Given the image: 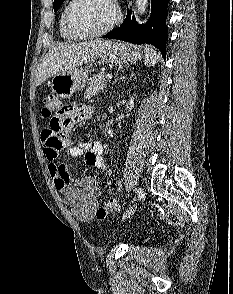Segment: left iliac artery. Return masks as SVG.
<instances>
[{
  "instance_id": "obj_1",
  "label": "left iliac artery",
  "mask_w": 233,
  "mask_h": 294,
  "mask_svg": "<svg viewBox=\"0 0 233 294\" xmlns=\"http://www.w3.org/2000/svg\"><path fill=\"white\" fill-rule=\"evenodd\" d=\"M135 190H136V193L138 194L139 199L141 200L144 197L142 189L138 188V189H135Z\"/></svg>"
}]
</instances>
